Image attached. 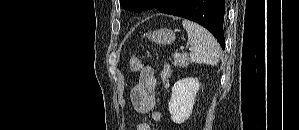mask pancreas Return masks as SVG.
Wrapping results in <instances>:
<instances>
[{"label": "pancreas", "instance_id": "obj_1", "mask_svg": "<svg viewBox=\"0 0 299 130\" xmlns=\"http://www.w3.org/2000/svg\"><path fill=\"white\" fill-rule=\"evenodd\" d=\"M190 63V59L187 55H181V56H178V57H173V61H172V64L175 66V67H185V66H188Z\"/></svg>", "mask_w": 299, "mask_h": 130}]
</instances>
